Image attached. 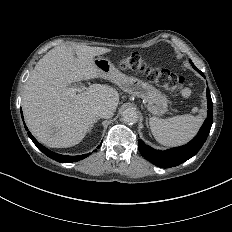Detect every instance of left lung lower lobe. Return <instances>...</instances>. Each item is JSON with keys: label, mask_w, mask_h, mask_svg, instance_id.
I'll return each mask as SVG.
<instances>
[{"label": "left lung lower lobe", "mask_w": 232, "mask_h": 232, "mask_svg": "<svg viewBox=\"0 0 232 232\" xmlns=\"http://www.w3.org/2000/svg\"><path fill=\"white\" fill-rule=\"evenodd\" d=\"M204 76V74L198 70ZM208 115L200 128L198 134L186 145L171 148L168 150H155L146 145L141 139L138 140V149L142 156L153 163L155 166L161 168L175 167L187 161L197 154L205 143L212 123H213V104L209 89H207Z\"/></svg>", "instance_id": "left-lung-lower-lobe-1"}]
</instances>
